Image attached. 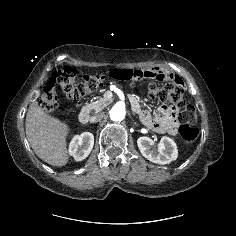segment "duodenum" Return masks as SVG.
Returning <instances> with one entry per match:
<instances>
[{"label": "duodenum", "instance_id": "duodenum-1", "mask_svg": "<svg viewBox=\"0 0 236 236\" xmlns=\"http://www.w3.org/2000/svg\"><path fill=\"white\" fill-rule=\"evenodd\" d=\"M130 101H131L133 109L136 111V107H139L138 101L135 98H131ZM78 119L81 124H87L89 122L90 115H89V112L86 108H83L80 111Z\"/></svg>", "mask_w": 236, "mask_h": 236}]
</instances>
